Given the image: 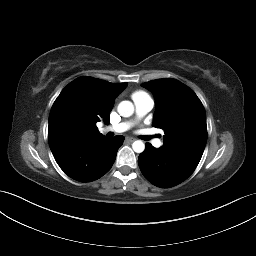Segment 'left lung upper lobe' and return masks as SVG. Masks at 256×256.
I'll list each match as a JSON object with an SVG mask.
<instances>
[{"label": "left lung upper lobe", "instance_id": "1", "mask_svg": "<svg viewBox=\"0 0 256 256\" xmlns=\"http://www.w3.org/2000/svg\"><path fill=\"white\" fill-rule=\"evenodd\" d=\"M156 99L153 126L164 130L160 149L197 166L207 141L205 109L197 95L175 79L142 84Z\"/></svg>", "mask_w": 256, "mask_h": 256}]
</instances>
